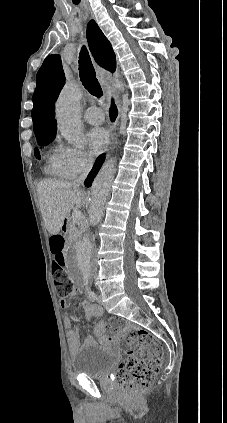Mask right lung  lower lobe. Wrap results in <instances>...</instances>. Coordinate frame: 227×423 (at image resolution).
Wrapping results in <instances>:
<instances>
[{
  "label": "right lung lower lobe",
  "mask_w": 227,
  "mask_h": 423,
  "mask_svg": "<svg viewBox=\"0 0 227 423\" xmlns=\"http://www.w3.org/2000/svg\"><path fill=\"white\" fill-rule=\"evenodd\" d=\"M104 158H105V156H104L103 154H102V155H100V156L97 158V160H96V162H95V164H94V166H93V168H92L91 172L89 173V175H88L87 179L85 180V185H86L87 187L91 186V182L93 181L94 177H95V176H96V174L98 173V171H99V169H100V167H101V165H102V163H103V161H104Z\"/></svg>",
  "instance_id": "right-lung-lower-lobe-1"
}]
</instances>
